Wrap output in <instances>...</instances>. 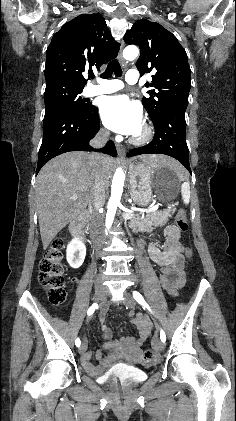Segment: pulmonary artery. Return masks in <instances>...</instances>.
<instances>
[{"instance_id":"pulmonary-artery-1","label":"pulmonary artery","mask_w":236,"mask_h":421,"mask_svg":"<svg viewBox=\"0 0 236 421\" xmlns=\"http://www.w3.org/2000/svg\"><path fill=\"white\" fill-rule=\"evenodd\" d=\"M125 80L129 85H134L140 80L137 69H129L125 75ZM124 83L120 80L103 82L98 85L89 86L84 91V96L92 97L101 94H109L123 89Z\"/></svg>"}]
</instances>
